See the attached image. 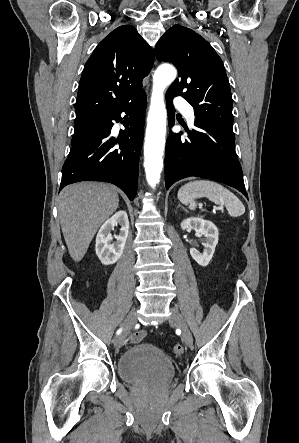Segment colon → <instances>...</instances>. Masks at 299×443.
<instances>
[{
    "label": "colon",
    "instance_id": "1",
    "mask_svg": "<svg viewBox=\"0 0 299 443\" xmlns=\"http://www.w3.org/2000/svg\"><path fill=\"white\" fill-rule=\"evenodd\" d=\"M184 354V348L181 344H176L173 347V355L175 357H181Z\"/></svg>",
    "mask_w": 299,
    "mask_h": 443
}]
</instances>
